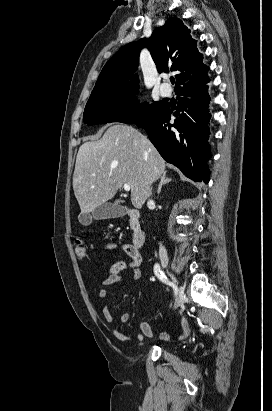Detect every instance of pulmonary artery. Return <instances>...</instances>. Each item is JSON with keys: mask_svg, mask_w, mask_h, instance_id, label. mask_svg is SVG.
<instances>
[{"mask_svg": "<svg viewBox=\"0 0 272 411\" xmlns=\"http://www.w3.org/2000/svg\"><path fill=\"white\" fill-rule=\"evenodd\" d=\"M160 92H161V95H162V96L167 97V96H170V95H171L172 89H171V87H170L168 84H162V85L160 86Z\"/></svg>", "mask_w": 272, "mask_h": 411, "instance_id": "pulmonary-artery-1", "label": "pulmonary artery"}]
</instances>
